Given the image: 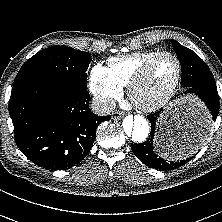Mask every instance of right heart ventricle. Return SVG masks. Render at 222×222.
Segmentation results:
<instances>
[{"instance_id": "obj_1", "label": "right heart ventricle", "mask_w": 222, "mask_h": 222, "mask_svg": "<svg viewBox=\"0 0 222 222\" xmlns=\"http://www.w3.org/2000/svg\"><path fill=\"white\" fill-rule=\"evenodd\" d=\"M159 51L137 52L127 56L114 57L106 67L113 82L120 88H127L138 70Z\"/></svg>"}]
</instances>
